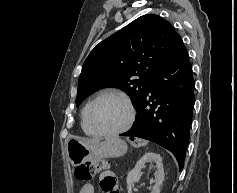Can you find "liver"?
I'll use <instances>...</instances> for the list:
<instances>
[{
	"label": "liver",
	"instance_id": "6515ba94",
	"mask_svg": "<svg viewBox=\"0 0 237 193\" xmlns=\"http://www.w3.org/2000/svg\"><path fill=\"white\" fill-rule=\"evenodd\" d=\"M78 140H81V141H83V142L94 141V140H88V139H78Z\"/></svg>",
	"mask_w": 237,
	"mask_h": 193
}]
</instances>
